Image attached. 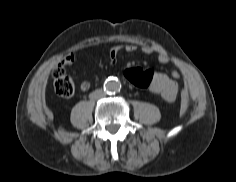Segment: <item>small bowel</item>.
I'll return each instance as SVG.
<instances>
[{
	"mask_svg": "<svg viewBox=\"0 0 236 182\" xmlns=\"http://www.w3.org/2000/svg\"><path fill=\"white\" fill-rule=\"evenodd\" d=\"M138 49V46L132 43H125L114 45L111 47L109 51V58L111 62L115 63L117 60L118 53L121 50L125 52L131 53L135 52ZM141 51L145 54H156L157 59L160 63H167L169 61V56L167 52L163 49L158 50L155 46L150 44H143L140 47ZM67 62L71 61V58L66 59ZM153 72V80L149 87V90L157 95H159L163 100L167 102H173L178 93H179V85L174 80V78H179L180 73L177 71L172 72V77L168 76L162 72ZM91 86L89 81H83L81 87L83 90H88Z\"/></svg>",
	"mask_w": 236,
	"mask_h": 182,
	"instance_id": "c3829d8e",
	"label": "small bowel"
}]
</instances>
